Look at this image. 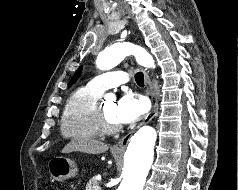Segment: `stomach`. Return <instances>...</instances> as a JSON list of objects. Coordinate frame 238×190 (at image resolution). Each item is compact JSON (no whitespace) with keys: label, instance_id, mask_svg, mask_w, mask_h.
Listing matches in <instances>:
<instances>
[{"label":"stomach","instance_id":"obj_1","mask_svg":"<svg viewBox=\"0 0 238 190\" xmlns=\"http://www.w3.org/2000/svg\"><path fill=\"white\" fill-rule=\"evenodd\" d=\"M114 156L119 155L113 152ZM48 169L51 177L56 181H65L73 178L78 172L75 162L62 156L55 157L48 162Z\"/></svg>","mask_w":238,"mask_h":190}]
</instances>
